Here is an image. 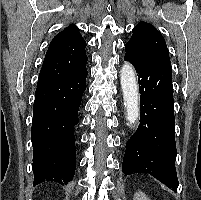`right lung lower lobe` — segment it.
Segmentation results:
<instances>
[{"mask_svg":"<svg viewBox=\"0 0 201 200\" xmlns=\"http://www.w3.org/2000/svg\"><path fill=\"white\" fill-rule=\"evenodd\" d=\"M86 65L67 78L37 85L33 107V185L68 184L75 173L74 126L86 89Z\"/></svg>","mask_w":201,"mask_h":200,"instance_id":"right-lung-lower-lobe-1","label":"right lung lower lobe"}]
</instances>
